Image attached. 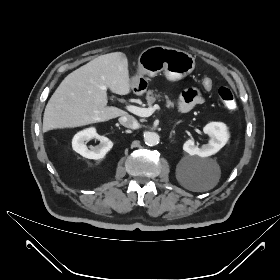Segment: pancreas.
<instances>
[{"label":"pancreas","instance_id":"1","mask_svg":"<svg viewBox=\"0 0 280 280\" xmlns=\"http://www.w3.org/2000/svg\"><path fill=\"white\" fill-rule=\"evenodd\" d=\"M165 99H166L167 107H172L174 105L173 102H171V100L169 99V97L167 95H165ZM146 100H147L148 106H152L156 100H158V101L161 100V95L154 93L153 90H148L147 94H146Z\"/></svg>","mask_w":280,"mask_h":280}]
</instances>
